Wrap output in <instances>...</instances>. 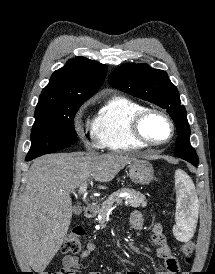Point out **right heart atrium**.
I'll return each instance as SVG.
<instances>
[{"mask_svg": "<svg viewBox=\"0 0 215 274\" xmlns=\"http://www.w3.org/2000/svg\"><path fill=\"white\" fill-rule=\"evenodd\" d=\"M99 146L96 144V145H93L92 148H98Z\"/></svg>", "mask_w": 215, "mask_h": 274, "instance_id": "obj_1", "label": "right heart atrium"}]
</instances>
